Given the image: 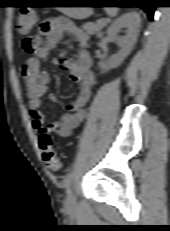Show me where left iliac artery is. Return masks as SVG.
I'll use <instances>...</instances> for the list:
<instances>
[{
    "instance_id": "left-iliac-artery-1",
    "label": "left iliac artery",
    "mask_w": 170,
    "mask_h": 231,
    "mask_svg": "<svg viewBox=\"0 0 170 231\" xmlns=\"http://www.w3.org/2000/svg\"><path fill=\"white\" fill-rule=\"evenodd\" d=\"M73 176H74L73 173L68 174V176L66 177V179L64 181V184H65L67 191H69L70 185H71L72 180H73Z\"/></svg>"
}]
</instances>
